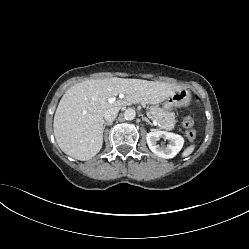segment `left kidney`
<instances>
[{"instance_id":"1","label":"left kidney","mask_w":249,"mask_h":249,"mask_svg":"<svg viewBox=\"0 0 249 249\" xmlns=\"http://www.w3.org/2000/svg\"><path fill=\"white\" fill-rule=\"evenodd\" d=\"M163 137L169 141L167 146H159L157 141ZM146 140L149 149L157 156L165 159L175 157L184 145V139L182 136L166 131H154L149 132L146 135Z\"/></svg>"}]
</instances>
